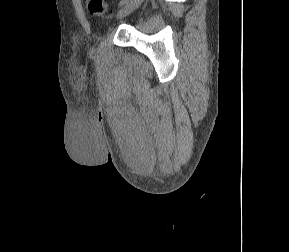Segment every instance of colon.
I'll use <instances>...</instances> for the list:
<instances>
[{"label":"colon","instance_id":"obj_1","mask_svg":"<svg viewBox=\"0 0 289 252\" xmlns=\"http://www.w3.org/2000/svg\"><path fill=\"white\" fill-rule=\"evenodd\" d=\"M84 2L92 16H102L107 12L105 0H84Z\"/></svg>","mask_w":289,"mask_h":252}]
</instances>
